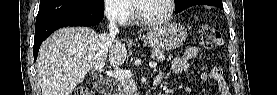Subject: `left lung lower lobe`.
I'll list each match as a JSON object with an SVG mask.
<instances>
[{"label": "left lung lower lobe", "mask_w": 277, "mask_h": 95, "mask_svg": "<svg viewBox=\"0 0 277 95\" xmlns=\"http://www.w3.org/2000/svg\"><path fill=\"white\" fill-rule=\"evenodd\" d=\"M202 4L214 6V5H211V4H208V3H202ZM215 7H219V8H221V9L223 8V6H215Z\"/></svg>", "instance_id": "obj_1"}]
</instances>
